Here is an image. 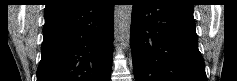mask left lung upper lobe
Returning <instances> with one entry per match:
<instances>
[{
    "mask_svg": "<svg viewBox=\"0 0 237 81\" xmlns=\"http://www.w3.org/2000/svg\"><path fill=\"white\" fill-rule=\"evenodd\" d=\"M171 1L183 4V5H186V6L193 7V4H192L191 0H171Z\"/></svg>",
    "mask_w": 237,
    "mask_h": 81,
    "instance_id": "left-lung-upper-lobe-1",
    "label": "left lung upper lobe"
}]
</instances>
